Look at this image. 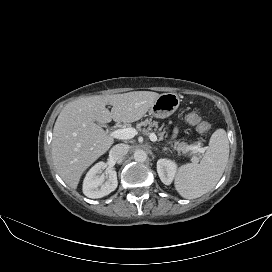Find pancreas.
I'll use <instances>...</instances> for the list:
<instances>
[{
  "instance_id": "cf45deb5",
  "label": "pancreas",
  "mask_w": 272,
  "mask_h": 272,
  "mask_svg": "<svg viewBox=\"0 0 272 272\" xmlns=\"http://www.w3.org/2000/svg\"><path fill=\"white\" fill-rule=\"evenodd\" d=\"M147 125H148L147 129H141L142 126H147ZM152 127H155V130H157L158 122L156 121L151 122L150 120H145L143 122H140L137 125L138 130H142L145 134H148V131L151 130ZM161 130H162L161 128L158 129V136L160 140H163V136L165 135L166 132L165 130L163 131ZM195 146H200V143H198L197 145H188L187 143L182 142L176 145L174 148L175 150L178 151V153L186 154L189 151H192V153H197V151L194 149Z\"/></svg>"
}]
</instances>
